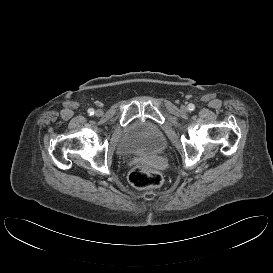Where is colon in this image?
Masks as SVG:
<instances>
[{"instance_id":"obj_1","label":"colon","mask_w":273,"mask_h":273,"mask_svg":"<svg viewBox=\"0 0 273 273\" xmlns=\"http://www.w3.org/2000/svg\"><path fill=\"white\" fill-rule=\"evenodd\" d=\"M128 180L136 188H158L163 183V176L146 164L138 162L130 168Z\"/></svg>"}]
</instances>
